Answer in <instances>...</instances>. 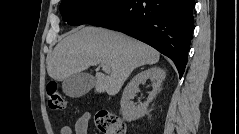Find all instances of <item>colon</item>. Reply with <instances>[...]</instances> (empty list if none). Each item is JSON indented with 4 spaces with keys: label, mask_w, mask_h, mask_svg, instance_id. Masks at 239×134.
Wrapping results in <instances>:
<instances>
[{
    "label": "colon",
    "mask_w": 239,
    "mask_h": 134,
    "mask_svg": "<svg viewBox=\"0 0 239 134\" xmlns=\"http://www.w3.org/2000/svg\"><path fill=\"white\" fill-rule=\"evenodd\" d=\"M46 97L49 107L54 111L65 112L67 103L58 90L57 83L50 81L46 87ZM94 125L103 134H126L124 122L115 114L107 111L98 112L94 116Z\"/></svg>",
    "instance_id": "5ec220e1"
}]
</instances>
